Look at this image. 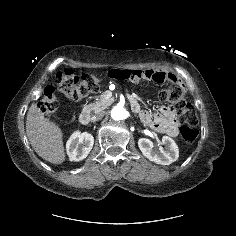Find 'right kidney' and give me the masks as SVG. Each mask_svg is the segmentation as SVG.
<instances>
[{
  "instance_id": "obj_1",
  "label": "right kidney",
  "mask_w": 236,
  "mask_h": 236,
  "mask_svg": "<svg viewBox=\"0 0 236 236\" xmlns=\"http://www.w3.org/2000/svg\"><path fill=\"white\" fill-rule=\"evenodd\" d=\"M94 137L88 132H74L66 143V150L71 161H81L90 153Z\"/></svg>"
}]
</instances>
